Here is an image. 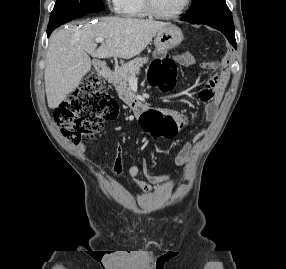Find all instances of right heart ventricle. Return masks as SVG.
Returning a JSON list of instances; mask_svg holds the SVG:
<instances>
[{
  "instance_id": "right-heart-ventricle-1",
  "label": "right heart ventricle",
  "mask_w": 286,
  "mask_h": 269,
  "mask_svg": "<svg viewBox=\"0 0 286 269\" xmlns=\"http://www.w3.org/2000/svg\"><path fill=\"white\" fill-rule=\"evenodd\" d=\"M118 11L126 18L142 19L148 16L142 0H121Z\"/></svg>"
}]
</instances>
